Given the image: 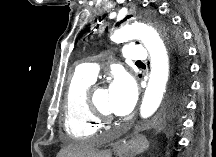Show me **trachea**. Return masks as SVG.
Here are the masks:
<instances>
[{
	"mask_svg": "<svg viewBox=\"0 0 216 157\" xmlns=\"http://www.w3.org/2000/svg\"><path fill=\"white\" fill-rule=\"evenodd\" d=\"M136 63L142 64V62H141V61H137Z\"/></svg>",
	"mask_w": 216,
	"mask_h": 157,
	"instance_id": "3493384b",
	"label": "trachea"
}]
</instances>
